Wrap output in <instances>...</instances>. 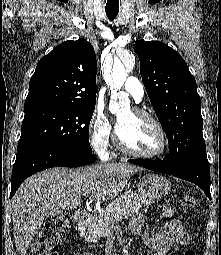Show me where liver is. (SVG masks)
<instances>
[{
    "label": "liver",
    "mask_w": 221,
    "mask_h": 255,
    "mask_svg": "<svg viewBox=\"0 0 221 255\" xmlns=\"http://www.w3.org/2000/svg\"><path fill=\"white\" fill-rule=\"evenodd\" d=\"M140 167L127 163H102L75 170L51 168L23 182L12 198L14 240L19 255H25L44 217L54 210H72L81 196L107 201L118 196Z\"/></svg>",
    "instance_id": "6515ba94"
}]
</instances>
